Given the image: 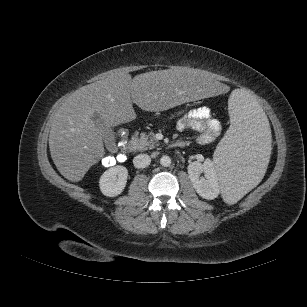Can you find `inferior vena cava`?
<instances>
[{
  "label": "inferior vena cava",
  "instance_id": "obj_1",
  "mask_svg": "<svg viewBox=\"0 0 307 307\" xmlns=\"http://www.w3.org/2000/svg\"><path fill=\"white\" fill-rule=\"evenodd\" d=\"M151 163V158L147 154H139L134 157L133 164L135 168H145Z\"/></svg>",
  "mask_w": 307,
  "mask_h": 307
}]
</instances>
